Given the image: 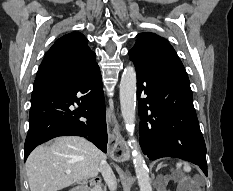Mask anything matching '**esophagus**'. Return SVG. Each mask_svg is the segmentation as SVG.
<instances>
[{
  "label": "esophagus",
  "instance_id": "1",
  "mask_svg": "<svg viewBox=\"0 0 233 191\" xmlns=\"http://www.w3.org/2000/svg\"><path fill=\"white\" fill-rule=\"evenodd\" d=\"M106 123L108 142L106 143V151L109 156L126 157L129 153L125 140L123 139L115 112L111 108L106 111ZM121 161V158H118Z\"/></svg>",
  "mask_w": 233,
  "mask_h": 191
}]
</instances>
